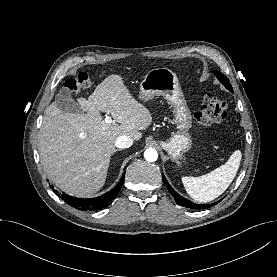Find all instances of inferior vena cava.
I'll return each instance as SVG.
<instances>
[{
    "label": "inferior vena cava",
    "mask_w": 277,
    "mask_h": 277,
    "mask_svg": "<svg viewBox=\"0 0 277 277\" xmlns=\"http://www.w3.org/2000/svg\"><path fill=\"white\" fill-rule=\"evenodd\" d=\"M132 144L133 139L128 135H121L115 141V146L121 149L129 148Z\"/></svg>",
    "instance_id": "obj_1"
}]
</instances>
